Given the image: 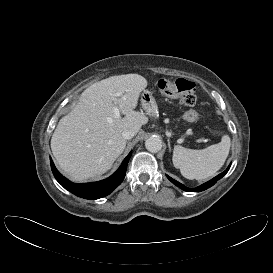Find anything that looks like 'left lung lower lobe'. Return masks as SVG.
Instances as JSON below:
<instances>
[{
    "label": "left lung lower lobe",
    "mask_w": 273,
    "mask_h": 273,
    "mask_svg": "<svg viewBox=\"0 0 273 273\" xmlns=\"http://www.w3.org/2000/svg\"><path fill=\"white\" fill-rule=\"evenodd\" d=\"M230 168V165L228 166V168L220 173L218 176L214 177L213 179H211L210 181L202 184L201 186L197 187V188H194V189H190V188H187L185 187L184 185H182L181 183H179L178 181L172 179L170 176L167 175V178L173 183L175 184L176 186H178L179 188L185 190V191H190V192H200V191H203V190H206L208 188H210L211 186H213L219 179H221L229 170Z\"/></svg>",
    "instance_id": "obj_1"
}]
</instances>
